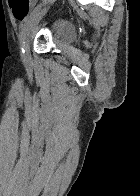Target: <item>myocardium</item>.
<instances>
[{"label":"myocardium","instance_id":"1","mask_svg":"<svg viewBox=\"0 0 140 196\" xmlns=\"http://www.w3.org/2000/svg\"><path fill=\"white\" fill-rule=\"evenodd\" d=\"M5 192H10V191H5ZM20 192V191H18ZM42 192H65V191H42Z\"/></svg>","mask_w":140,"mask_h":196}]
</instances>
